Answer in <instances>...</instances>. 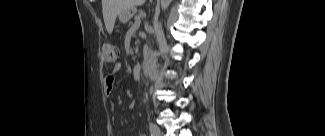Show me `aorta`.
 I'll use <instances>...</instances> for the list:
<instances>
[{
    "label": "aorta",
    "instance_id": "1",
    "mask_svg": "<svg viewBox=\"0 0 325 136\" xmlns=\"http://www.w3.org/2000/svg\"><path fill=\"white\" fill-rule=\"evenodd\" d=\"M171 0H161V9L162 11H165L168 6L170 5ZM156 31H157V38L159 37L160 33H161V25L160 24H156L155 25Z\"/></svg>",
    "mask_w": 325,
    "mask_h": 136
}]
</instances>
